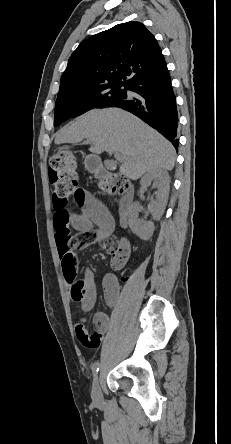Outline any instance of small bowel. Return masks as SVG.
Segmentation results:
<instances>
[{
	"mask_svg": "<svg viewBox=\"0 0 231 444\" xmlns=\"http://www.w3.org/2000/svg\"><path fill=\"white\" fill-rule=\"evenodd\" d=\"M80 208L79 213H73L68 205V199L57 200L54 198V229L57 247L59 250L64 278L71 288V297L75 301H81L84 311L90 310L96 300V289L93 273L86 272V294L76 299L72 295V286L76 278V268L67 267L64 258L68 254L77 255L79 249L91 246L101 247L106 253L115 254L122 252L128 257L129 244L125 239L113 237L114 222L105 206L90 193L78 186L72 196ZM96 226V228H94ZM77 230V234L72 232ZM104 298L108 306L114 307L120 295V285L117 277L107 274L103 280ZM74 327L79 341L91 348H97L101 344L103 334L111 327V319L104 312H98L94 316L96 331L90 333L86 327V315L73 312Z\"/></svg>",
	"mask_w": 231,
	"mask_h": 444,
	"instance_id": "small-bowel-1",
	"label": "small bowel"
}]
</instances>
